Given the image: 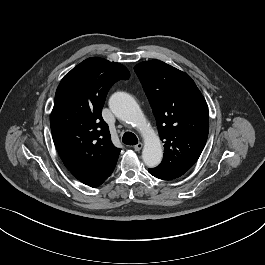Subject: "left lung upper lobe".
Returning a JSON list of instances; mask_svg holds the SVG:
<instances>
[{
  "mask_svg": "<svg viewBox=\"0 0 265 265\" xmlns=\"http://www.w3.org/2000/svg\"><path fill=\"white\" fill-rule=\"evenodd\" d=\"M134 70L164 142L163 160L153 170L164 180L178 178L194 165L206 144L207 103L186 73L160 60L141 62Z\"/></svg>",
  "mask_w": 265,
  "mask_h": 265,
  "instance_id": "1",
  "label": "left lung upper lobe"
}]
</instances>
